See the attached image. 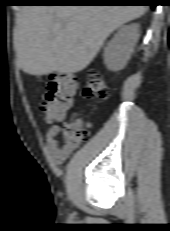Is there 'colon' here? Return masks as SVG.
<instances>
[{"mask_svg": "<svg viewBox=\"0 0 170 231\" xmlns=\"http://www.w3.org/2000/svg\"><path fill=\"white\" fill-rule=\"evenodd\" d=\"M76 81L70 74H55L48 83L47 93L41 109L47 122L63 121L67 112L74 105ZM110 90L102 75L96 70H90L83 88L87 99H107ZM90 123L75 120L64 125L62 135L65 145L75 149L90 137Z\"/></svg>", "mask_w": 170, "mask_h": 231, "instance_id": "colon-1", "label": "colon"}]
</instances>
